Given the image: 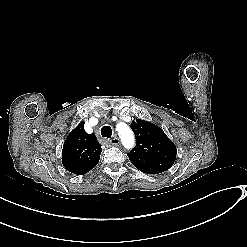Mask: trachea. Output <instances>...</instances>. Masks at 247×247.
<instances>
[{
	"label": "trachea",
	"mask_w": 247,
	"mask_h": 247,
	"mask_svg": "<svg viewBox=\"0 0 247 247\" xmlns=\"http://www.w3.org/2000/svg\"><path fill=\"white\" fill-rule=\"evenodd\" d=\"M101 135L102 137H105V138H111V135H112V129L110 126H104L102 127L101 129Z\"/></svg>",
	"instance_id": "trachea-1"
}]
</instances>
